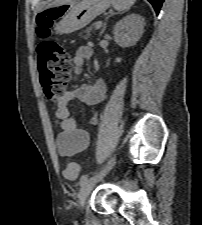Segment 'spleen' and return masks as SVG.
Here are the masks:
<instances>
[{
    "label": "spleen",
    "mask_w": 202,
    "mask_h": 225,
    "mask_svg": "<svg viewBox=\"0 0 202 225\" xmlns=\"http://www.w3.org/2000/svg\"><path fill=\"white\" fill-rule=\"evenodd\" d=\"M136 0H111V3L119 12L127 11L135 3Z\"/></svg>",
    "instance_id": "obj_1"
}]
</instances>
